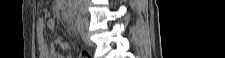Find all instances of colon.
<instances>
[{
  "label": "colon",
  "mask_w": 225,
  "mask_h": 58,
  "mask_svg": "<svg viewBox=\"0 0 225 58\" xmlns=\"http://www.w3.org/2000/svg\"><path fill=\"white\" fill-rule=\"evenodd\" d=\"M79 58H91V54L89 51L83 50L80 52Z\"/></svg>",
  "instance_id": "colon-1"
}]
</instances>
